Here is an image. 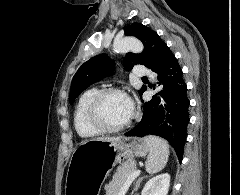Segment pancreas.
<instances>
[{
  "instance_id": "cf45deb5",
  "label": "pancreas",
  "mask_w": 240,
  "mask_h": 195,
  "mask_svg": "<svg viewBox=\"0 0 240 195\" xmlns=\"http://www.w3.org/2000/svg\"><path fill=\"white\" fill-rule=\"evenodd\" d=\"M136 169L135 159H126V161H122L121 165L117 167L113 179H111L109 183H106L104 187L106 195H117V193H120L130 173H133Z\"/></svg>"
}]
</instances>
